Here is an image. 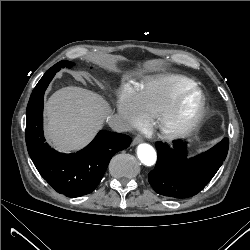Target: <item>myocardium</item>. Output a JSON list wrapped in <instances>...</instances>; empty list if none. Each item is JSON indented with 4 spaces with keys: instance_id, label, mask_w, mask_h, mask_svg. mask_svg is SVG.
<instances>
[{
    "instance_id": "obj_1",
    "label": "myocardium",
    "mask_w": 250,
    "mask_h": 250,
    "mask_svg": "<svg viewBox=\"0 0 250 250\" xmlns=\"http://www.w3.org/2000/svg\"><path fill=\"white\" fill-rule=\"evenodd\" d=\"M197 96L196 109L189 115L182 114L183 104L190 96ZM206 95L197 85H191L177 94L171 104L157 117V129L166 140H174L191 133L204 117Z\"/></svg>"
}]
</instances>
